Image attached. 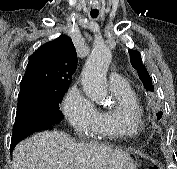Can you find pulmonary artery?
Wrapping results in <instances>:
<instances>
[{
    "mask_svg": "<svg viewBox=\"0 0 177 169\" xmlns=\"http://www.w3.org/2000/svg\"><path fill=\"white\" fill-rule=\"evenodd\" d=\"M109 82L111 90L114 91L123 90L128 86V82L116 72H111L109 74Z\"/></svg>",
    "mask_w": 177,
    "mask_h": 169,
    "instance_id": "e3ab8cb5",
    "label": "pulmonary artery"
}]
</instances>
